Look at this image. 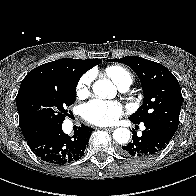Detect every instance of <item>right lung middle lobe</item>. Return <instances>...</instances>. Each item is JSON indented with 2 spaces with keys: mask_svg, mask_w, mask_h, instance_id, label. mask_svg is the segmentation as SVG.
<instances>
[{
  "mask_svg": "<svg viewBox=\"0 0 196 196\" xmlns=\"http://www.w3.org/2000/svg\"><path fill=\"white\" fill-rule=\"evenodd\" d=\"M78 79L52 77L24 87L16 97L22 130H36L61 124L66 107L75 102Z\"/></svg>",
  "mask_w": 196,
  "mask_h": 196,
  "instance_id": "right-lung-middle-lobe-1",
  "label": "right lung middle lobe"
}]
</instances>
